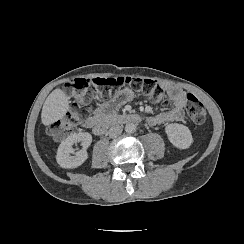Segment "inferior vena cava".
Masks as SVG:
<instances>
[{
	"label": "inferior vena cava",
	"instance_id": "inferior-vena-cava-1",
	"mask_svg": "<svg viewBox=\"0 0 244 244\" xmlns=\"http://www.w3.org/2000/svg\"><path fill=\"white\" fill-rule=\"evenodd\" d=\"M122 132V128L119 125H113L110 127L108 134L110 137L115 138L119 136Z\"/></svg>",
	"mask_w": 244,
	"mask_h": 244
}]
</instances>
